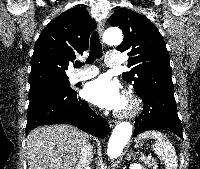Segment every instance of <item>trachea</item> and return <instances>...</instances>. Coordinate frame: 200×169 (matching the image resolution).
<instances>
[{
	"label": "trachea",
	"instance_id": "trachea-1",
	"mask_svg": "<svg viewBox=\"0 0 200 169\" xmlns=\"http://www.w3.org/2000/svg\"><path fill=\"white\" fill-rule=\"evenodd\" d=\"M102 47L99 39L98 32L95 31L90 40V52L87 59V64H92L96 59H100L102 57ZM84 64L81 62H76L75 67H81Z\"/></svg>",
	"mask_w": 200,
	"mask_h": 169
}]
</instances>
